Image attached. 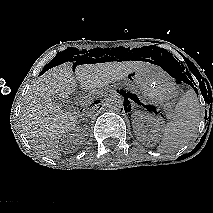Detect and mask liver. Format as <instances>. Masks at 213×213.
Instances as JSON below:
<instances>
[{"mask_svg":"<svg viewBox=\"0 0 213 213\" xmlns=\"http://www.w3.org/2000/svg\"><path fill=\"white\" fill-rule=\"evenodd\" d=\"M150 65L136 61L82 64L73 72L72 62H65L47 70L29 89L21 110L22 129L32 148L52 159L61 157L59 139L75 128L79 116L64 112L54 98L66 99L76 91L73 74L83 89L91 90Z\"/></svg>","mask_w":213,"mask_h":213,"instance_id":"obj_1","label":"liver"}]
</instances>
